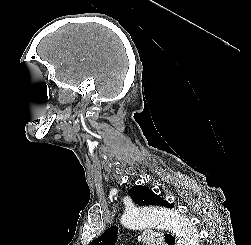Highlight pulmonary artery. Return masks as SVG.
<instances>
[{
  "mask_svg": "<svg viewBox=\"0 0 251 245\" xmlns=\"http://www.w3.org/2000/svg\"><path fill=\"white\" fill-rule=\"evenodd\" d=\"M142 239L145 245H162L163 238L156 234H144Z\"/></svg>",
  "mask_w": 251,
  "mask_h": 245,
  "instance_id": "obj_1",
  "label": "pulmonary artery"
}]
</instances>
